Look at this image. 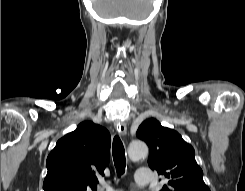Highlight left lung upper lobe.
<instances>
[{"mask_svg": "<svg viewBox=\"0 0 245 191\" xmlns=\"http://www.w3.org/2000/svg\"><path fill=\"white\" fill-rule=\"evenodd\" d=\"M137 137L149 146V167L168 180L161 191H210L194 148L177 131L151 118L139 126Z\"/></svg>", "mask_w": 245, "mask_h": 191, "instance_id": "obj_1", "label": "left lung upper lobe"}]
</instances>
